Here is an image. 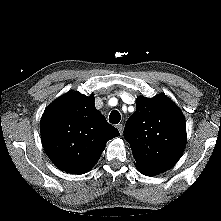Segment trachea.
Here are the masks:
<instances>
[{"instance_id": "1", "label": "trachea", "mask_w": 221, "mask_h": 221, "mask_svg": "<svg viewBox=\"0 0 221 221\" xmlns=\"http://www.w3.org/2000/svg\"><path fill=\"white\" fill-rule=\"evenodd\" d=\"M121 115L117 110H113L109 115V122L112 124H118L120 122Z\"/></svg>"}]
</instances>
